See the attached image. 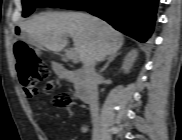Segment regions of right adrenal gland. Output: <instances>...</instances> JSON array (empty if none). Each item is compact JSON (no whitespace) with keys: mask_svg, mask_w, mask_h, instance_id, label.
I'll list each match as a JSON object with an SVG mask.
<instances>
[{"mask_svg":"<svg viewBox=\"0 0 182 140\" xmlns=\"http://www.w3.org/2000/svg\"><path fill=\"white\" fill-rule=\"evenodd\" d=\"M119 55V53H114L108 56L107 58V62L105 63V65L103 66V68L100 70V73H102L109 65L112 61H114L115 57H117Z\"/></svg>","mask_w":182,"mask_h":140,"instance_id":"2a0ac1e0","label":"right adrenal gland"}]
</instances>
